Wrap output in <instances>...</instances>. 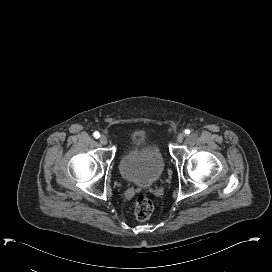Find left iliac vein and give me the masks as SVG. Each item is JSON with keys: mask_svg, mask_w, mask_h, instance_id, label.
<instances>
[{"mask_svg": "<svg viewBox=\"0 0 272 272\" xmlns=\"http://www.w3.org/2000/svg\"><path fill=\"white\" fill-rule=\"evenodd\" d=\"M184 137H185L184 133H179L177 136V142L182 143L184 140Z\"/></svg>", "mask_w": 272, "mask_h": 272, "instance_id": "1", "label": "left iliac vein"}]
</instances>
